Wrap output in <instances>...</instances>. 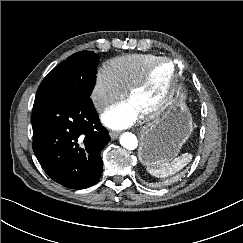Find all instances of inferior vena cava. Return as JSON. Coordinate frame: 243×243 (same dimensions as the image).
<instances>
[{
	"label": "inferior vena cava",
	"mask_w": 243,
	"mask_h": 243,
	"mask_svg": "<svg viewBox=\"0 0 243 243\" xmlns=\"http://www.w3.org/2000/svg\"><path fill=\"white\" fill-rule=\"evenodd\" d=\"M107 104H108V102L105 100H98L96 102V107L100 109V108H103L104 106H106Z\"/></svg>",
	"instance_id": "1"
}]
</instances>
